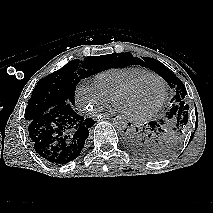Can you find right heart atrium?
<instances>
[{"mask_svg": "<svg viewBox=\"0 0 213 213\" xmlns=\"http://www.w3.org/2000/svg\"><path fill=\"white\" fill-rule=\"evenodd\" d=\"M110 100L111 98L96 83L83 81L76 87L75 101L78 108L82 111H94L107 105Z\"/></svg>", "mask_w": 213, "mask_h": 213, "instance_id": "d8ad5b80", "label": "right heart atrium"}]
</instances>
